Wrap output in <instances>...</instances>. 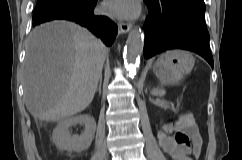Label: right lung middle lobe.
<instances>
[{
	"mask_svg": "<svg viewBox=\"0 0 242 160\" xmlns=\"http://www.w3.org/2000/svg\"><path fill=\"white\" fill-rule=\"evenodd\" d=\"M48 1H50V0H38V1H37V5H39V4H43V3H46V2H48ZM72 1H76V0H72Z\"/></svg>",
	"mask_w": 242,
	"mask_h": 160,
	"instance_id": "obj_1",
	"label": "right lung middle lobe"
}]
</instances>
